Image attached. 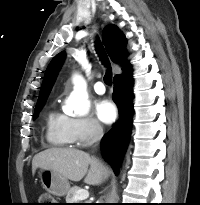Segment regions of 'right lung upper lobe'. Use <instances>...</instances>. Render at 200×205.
Returning a JSON list of instances; mask_svg holds the SVG:
<instances>
[{
  "label": "right lung upper lobe",
  "instance_id": "1",
  "mask_svg": "<svg viewBox=\"0 0 200 205\" xmlns=\"http://www.w3.org/2000/svg\"><path fill=\"white\" fill-rule=\"evenodd\" d=\"M103 42L106 46V50L113 62H120L124 71L127 70L130 65L124 63L127 56L126 52V39L125 36L115 25H108L103 32ZM65 58V53L61 52L56 55L50 62L43 79L38 101L47 99L52 86L56 80L58 72L62 66Z\"/></svg>",
  "mask_w": 200,
  "mask_h": 205
}]
</instances>
